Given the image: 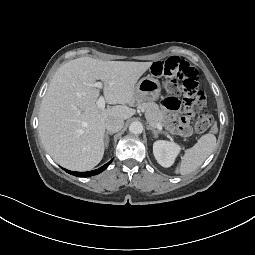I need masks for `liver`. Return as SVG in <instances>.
Returning a JSON list of instances; mask_svg holds the SVG:
<instances>
[{"instance_id":"liver-1","label":"liver","mask_w":255,"mask_h":255,"mask_svg":"<svg viewBox=\"0 0 255 255\" xmlns=\"http://www.w3.org/2000/svg\"><path fill=\"white\" fill-rule=\"evenodd\" d=\"M152 62L103 61L81 57L62 65L54 74L39 111V136L55 162L74 171L94 168L103 158L105 123L109 118L129 119L136 111L138 79ZM103 83L108 104L97 106L94 86ZM128 105V106H127Z\"/></svg>"}]
</instances>
